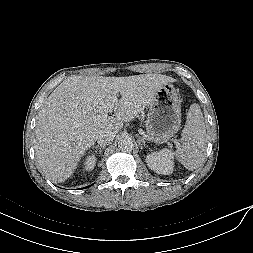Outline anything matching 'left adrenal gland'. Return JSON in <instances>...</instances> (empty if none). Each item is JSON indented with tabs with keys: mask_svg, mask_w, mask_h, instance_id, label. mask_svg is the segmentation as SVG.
<instances>
[{
	"mask_svg": "<svg viewBox=\"0 0 253 253\" xmlns=\"http://www.w3.org/2000/svg\"><path fill=\"white\" fill-rule=\"evenodd\" d=\"M138 142H139V145H141V149H142V145H146L145 143V140L143 138H141L140 136H138Z\"/></svg>",
	"mask_w": 253,
	"mask_h": 253,
	"instance_id": "a2214340",
	"label": "left adrenal gland"
}]
</instances>
